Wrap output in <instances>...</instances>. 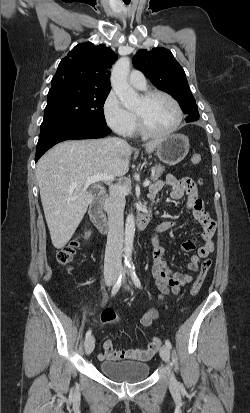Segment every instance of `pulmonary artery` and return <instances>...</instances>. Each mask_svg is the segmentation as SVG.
Segmentation results:
<instances>
[{
	"mask_svg": "<svg viewBox=\"0 0 250 413\" xmlns=\"http://www.w3.org/2000/svg\"><path fill=\"white\" fill-rule=\"evenodd\" d=\"M129 83L138 89H144L146 87V80L143 73L139 70L131 71L129 75Z\"/></svg>",
	"mask_w": 250,
	"mask_h": 413,
	"instance_id": "e3ab8cb5",
	"label": "pulmonary artery"
}]
</instances>
